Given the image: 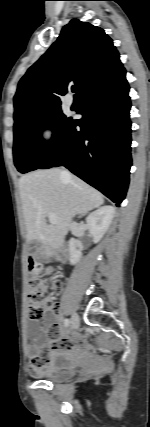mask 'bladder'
<instances>
[{"label":"bladder","mask_w":150,"mask_h":427,"mask_svg":"<svg viewBox=\"0 0 150 427\" xmlns=\"http://www.w3.org/2000/svg\"><path fill=\"white\" fill-rule=\"evenodd\" d=\"M76 367L66 354H58L48 365L46 380L51 383H62L76 374Z\"/></svg>","instance_id":"31cf9c89"}]
</instances>
